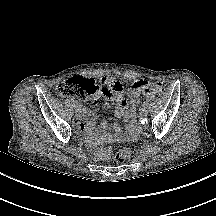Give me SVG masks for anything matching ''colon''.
I'll return each instance as SVG.
<instances>
[{"label":"colon","mask_w":216,"mask_h":216,"mask_svg":"<svg viewBox=\"0 0 216 216\" xmlns=\"http://www.w3.org/2000/svg\"><path fill=\"white\" fill-rule=\"evenodd\" d=\"M134 87L142 95H161L165 91L159 82L138 81L134 84ZM57 91L62 97H77L83 100L95 101L105 93V87L98 85L94 79L75 76L59 84ZM97 151L102 156L113 155L114 162L117 164L127 161L132 154L128 148L113 151L109 146H100Z\"/></svg>","instance_id":"obj_1"}]
</instances>
